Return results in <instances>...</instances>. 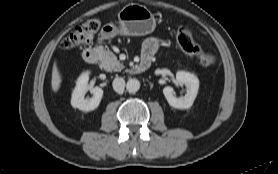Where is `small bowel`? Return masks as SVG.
<instances>
[{
  "mask_svg": "<svg viewBox=\"0 0 278 174\" xmlns=\"http://www.w3.org/2000/svg\"><path fill=\"white\" fill-rule=\"evenodd\" d=\"M161 40L156 37H151L143 42V57H152L159 49Z\"/></svg>",
  "mask_w": 278,
  "mask_h": 174,
  "instance_id": "obj_1",
  "label": "small bowel"
}]
</instances>
